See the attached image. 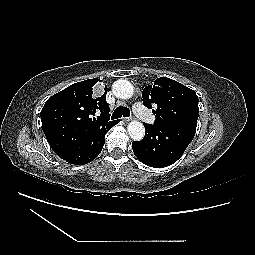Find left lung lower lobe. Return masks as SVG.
<instances>
[{
	"instance_id": "obj_1",
	"label": "left lung lower lobe",
	"mask_w": 255,
	"mask_h": 255,
	"mask_svg": "<svg viewBox=\"0 0 255 255\" xmlns=\"http://www.w3.org/2000/svg\"><path fill=\"white\" fill-rule=\"evenodd\" d=\"M145 136L133 141L135 156L145 165L154 168L167 167L176 162L193 140L195 131L145 124Z\"/></svg>"
}]
</instances>
